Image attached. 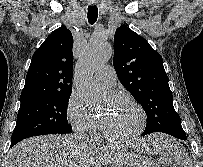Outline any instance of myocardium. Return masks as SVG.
<instances>
[{
  "mask_svg": "<svg viewBox=\"0 0 203 167\" xmlns=\"http://www.w3.org/2000/svg\"><path fill=\"white\" fill-rule=\"evenodd\" d=\"M117 96H119L124 102H126L128 105H130L132 108H134L136 110V112L138 113L139 116V124L137 126V128L129 135L127 136H116L114 134H112L104 125L103 121L101 120V118L99 119V125H100V129L103 133V135L114 142H118V143H126V142H130L135 140L137 137H139L141 135V133L144 131L145 129V125H146V113L144 111V109L142 108V106L140 104H138L136 101L132 100L130 97H128L125 94L122 93H115Z\"/></svg>",
  "mask_w": 203,
  "mask_h": 167,
  "instance_id": "1",
  "label": "myocardium"
}]
</instances>
